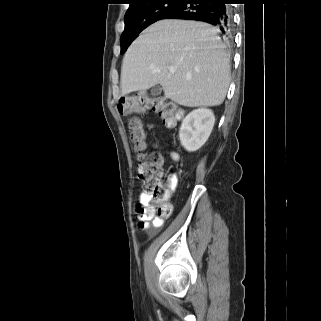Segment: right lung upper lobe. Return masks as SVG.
<instances>
[{"label": "right lung upper lobe", "instance_id": "1", "mask_svg": "<svg viewBox=\"0 0 321 321\" xmlns=\"http://www.w3.org/2000/svg\"><path fill=\"white\" fill-rule=\"evenodd\" d=\"M129 1H130L129 8H132V7L140 6V5L144 4V3L152 1V0H129Z\"/></svg>", "mask_w": 321, "mask_h": 321}]
</instances>
